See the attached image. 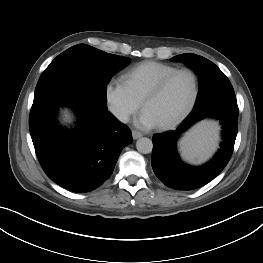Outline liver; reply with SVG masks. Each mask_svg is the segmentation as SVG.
<instances>
[{
    "instance_id": "liver-1",
    "label": "liver",
    "mask_w": 263,
    "mask_h": 263,
    "mask_svg": "<svg viewBox=\"0 0 263 263\" xmlns=\"http://www.w3.org/2000/svg\"><path fill=\"white\" fill-rule=\"evenodd\" d=\"M64 116H65V120H66V121H69V119H70V116H69V114H68V113H65V115H64Z\"/></svg>"
}]
</instances>
